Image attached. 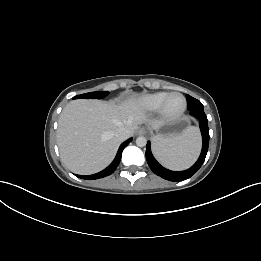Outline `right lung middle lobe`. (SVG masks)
Here are the masks:
<instances>
[{
  "label": "right lung middle lobe",
  "instance_id": "obj_1",
  "mask_svg": "<svg viewBox=\"0 0 261 261\" xmlns=\"http://www.w3.org/2000/svg\"><path fill=\"white\" fill-rule=\"evenodd\" d=\"M108 93H109V92H107V91H102V92H90V93L78 95V96L74 97V99H78V98H84V99H101V98H104L106 95H108Z\"/></svg>",
  "mask_w": 261,
  "mask_h": 261
}]
</instances>
